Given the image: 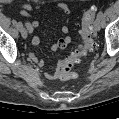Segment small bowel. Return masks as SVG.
Wrapping results in <instances>:
<instances>
[{"label":"small bowel","instance_id":"1","mask_svg":"<svg viewBox=\"0 0 119 119\" xmlns=\"http://www.w3.org/2000/svg\"><path fill=\"white\" fill-rule=\"evenodd\" d=\"M57 7L59 10L67 17L70 15V8L66 3L60 2L57 4ZM41 9L40 6H33L31 4H24L21 7L20 14L24 17H30V13L34 10H39ZM28 31L30 33H33L36 28L39 27V22L37 20L31 21V22H26L25 23ZM62 33L65 34L66 36L58 40L55 44L52 45V50L56 51L59 49H64L71 41V38L67 35L69 33V28L67 25H64L62 27ZM32 44L34 46L39 45L40 43V38L35 35L32 37L31 40ZM29 57L31 58L32 61H34L38 66H42L44 64L42 59L37 58L34 54L30 53ZM58 73H59V67L54 70L47 72L45 74L47 79L54 80L58 78Z\"/></svg>","mask_w":119,"mask_h":119}]
</instances>
